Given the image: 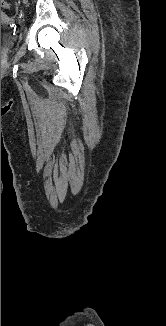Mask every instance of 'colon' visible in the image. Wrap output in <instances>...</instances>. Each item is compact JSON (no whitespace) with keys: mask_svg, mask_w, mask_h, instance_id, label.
Instances as JSON below:
<instances>
[{"mask_svg":"<svg viewBox=\"0 0 166 326\" xmlns=\"http://www.w3.org/2000/svg\"><path fill=\"white\" fill-rule=\"evenodd\" d=\"M9 7V3L6 0H1V8Z\"/></svg>","mask_w":166,"mask_h":326,"instance_id":"colon-1","label":"colon"}]
</instances>
